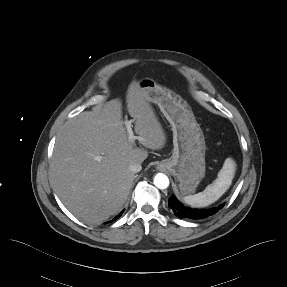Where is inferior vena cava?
<instances>
[{"label": "inferior vena cava", "instance_id": "602c4592", "mask_svg": "<svg viewBox=\"0 0 287 287\" xmlns=\"http://www.w3.org/2000/svg\"><path fill=\"white\" fill-rule=\"evenodd\" d=\"M129 169L133 172V173H137L140 172L142 169L141 163H133L130 165Z\"/></svg>", "mask_w": 287, "mask_h": 287}]
</instances>
